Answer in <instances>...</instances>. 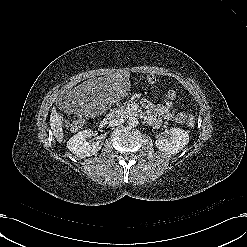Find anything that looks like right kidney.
<instances>
[{"instance_id": "1", "label": "right kidney", "mask_w": 247, "mask_h": 247, "mask_svg": "<svg viewBox=\"0 0 247 247\" xmlns=\"http://www.w3.org/2000/svg\"><path fill=\"white\" fill-rule=\"evenodd\" d=\"M94 135L91 129L83 130L75 134L67 142L68 149L79 158L95 155L101 149L100 141L89 143L86 141Z\"/></svg>"}]
</instances>
